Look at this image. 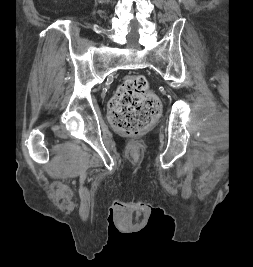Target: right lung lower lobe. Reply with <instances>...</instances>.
<instances>
[{
  "mask_svg": "<svg viewBox=\"0 0 253 267\" xmlns=\"http://www.w3.org/2000/svg\"><path fill=\"white\" fill-rule=\"evenodd\" d=\"M152 215H163V211L162 210H153Z\"/></svg>",
  "mask_w": 253,
  "mask_h": 267,
  "instance_id": "98d812e1",
  "label": "right lung lower lobe"
}]
</instances>
